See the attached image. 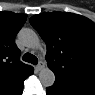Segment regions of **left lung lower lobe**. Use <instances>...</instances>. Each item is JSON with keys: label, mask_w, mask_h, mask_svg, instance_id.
<instances>
[{"label": "left lung lower lobe", "mask_w": 95, "mask_h": 95, "mask_svg": "<svg viewBox=\"0 0 95 95\" xmlns=\"http://www.w3.org/2000/svg\"><path fill=\"white\" fill-rule=\"evenodd\" d=\"M47 95H94L95 85L63 78L46 89Z\"/></svg>", "instance_id": "1"}]
</instances>
